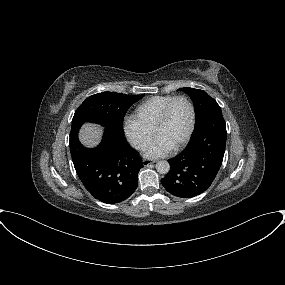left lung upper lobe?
Wrapping results in <instances>:
<instances>
[{
  "label": "left lung upper lobe",
  "mask_w": 285,
  "mask_h": 285,
  "mask_svg": "<svg viewBox=\"0 0 285 285\" xmlns=\"http://www.w3.org/2000/svg\"><path fill=\"white\" fill-rule=\"evenodd\" d=\"M179 90L188 94L193 101L196 113L194 130L201 126L210 116L214 114H222L218 103L205 91L194 88H180Z\"/></svg>",
  "instance_id": "1"
}]
</instances>
